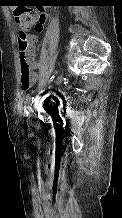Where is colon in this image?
<instances>
[{"instance_id": "5ec220e1", "label": "colon", "mask_w": 122, "mask_h": 218, "mask_svg": "<svg viewBox=\"0 0 122 218\" xmlns=\"http://www.w3.org/2000/svg\"><path fill=\"white\" fill-rule=\"evenodd\" d=\"M13 19L20 29L18 38L20 85L23 90H28L34 80L30 60L35 39L30 31L41 32L47 20V15L31 9H15Z\"/></svg>"}]
</instances>
